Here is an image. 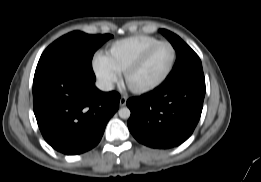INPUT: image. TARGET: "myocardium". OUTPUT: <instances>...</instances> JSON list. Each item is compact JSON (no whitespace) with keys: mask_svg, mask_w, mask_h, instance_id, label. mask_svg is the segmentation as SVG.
I'll use <instances>...</instances> for the list:
<instances>
[{"mask_svg":"<svg viewBox=\"0 0 261 182\" xmlns=\"http://www.w3.org/2000/svg\"><path fill=\"white\" fill-rule=\"evenodd\" d=\"M160 46H168L172 50V59L165 73L156 82L150 85L140 87V88L131 87L128 83L130 76L135 71H137L146 62V60L150 57V55ZM176 60H177V51L176 48L173 46V44H171L168 41H160L154 44L153 46L149 47L133 63H131L125 69V71L123 72V83L131 92L135 94H145L151 92L157 89L158 87H160L169 78L175 66Z\"/></svg>","mask_w":261,"mask_h":182,"instance_id":"f54148a6","label":"myocardium"}]
</instances>
